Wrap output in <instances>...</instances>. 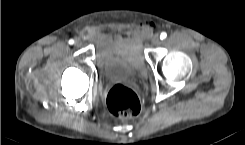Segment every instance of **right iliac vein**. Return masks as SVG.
Returning <instances> with one entry per match:
<instances>
[{"mask_svg":"<svg viewBox=\"0 0 245 145\" xmlns=\"http://www.w3.org/2000/svg\"><path fill=\"white\" fill-rule=\"evenodd\" d=\"M74 44L76 47H80L82 46V41L80 39H76Z\"/></svg>","mask_w":245,"mask_h":145,"instance_id":"right-iliac-vein-1","label":"right iliac vein"}]
</instances>
